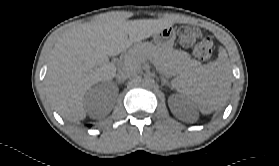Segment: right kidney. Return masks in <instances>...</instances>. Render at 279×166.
<instances>
[{"label":"right kidney","instance_id":"ca27d5eb","mask_svg":"<svg viewBox=\"0 0 279 166\" xmlns=\"http://www.w3.org/2000/svg\"><path fill=\"white\" fill-rule=\"evenodd\" d=\"M118 87L112 88L110 85L102 84L90 89L85 97V103L90 106H96L101 97H112L118 94Z\"/></svg>","mask_w":279,"mask_h":166}]
</instances>
